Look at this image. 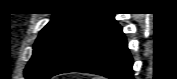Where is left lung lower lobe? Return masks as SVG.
<instances>
[{
	"instance_id": "left-lung-lower-lobe-1",
	"label": "left lung lower lobe",
	"mask_w": 177,
	"mask_h": 79,
	"mask_svg": "<svg viewBox=\"0 0 177 79\" xmlns=\"http://www.w3.org/2000/svg\"><path fill=\"white\" fill-rule=\"evenodd\" d=\"M132 64L122 28L109 14L71 49L52 76L86 72L110 79H133Z\"/></svg>"
}]
</instances>
